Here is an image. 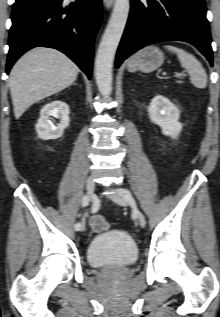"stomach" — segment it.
I'll return each instance as SVG.
<instances>
[{"label": "stomach", "instance_id": "1", "mask_svg": "<svg viewBox=\"0 0 220 317\" xmlns=\"http://www.w3.org/2000/svg\"><path fill=\"white\" fill-rule=\"evenodd\" d=\"M164 61V55L159 48L147 46L131 57L128 62L130 72L141 71L150 73L158 69Z\"/></svg>", "mask_w": 220, "mask_h": 317}]
</instances>
